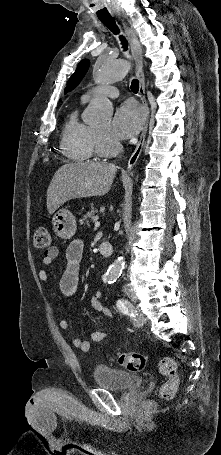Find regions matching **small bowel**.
<instances>
[{"instance_id":"small-bowel-1","label":"small bowel","mask_w":221,"mask_h":455,"mask_svg":"<svg viewBox=\"0 0 221 455\" xmlns=\"http://www.w3.org/2000/svg\"><path fill=\"white\" fill-rule=\"evenodd\" d=\"M84 245L81 241L75 240L69 244L65 252L66 258V267L62 278L60 280V290L65 297H72L77 291L78 281H79V272L81 268V262L83 258ZM59 255V249L57 247H51L49 250L45 251L41 262L43 266H50L54 259ZM39 280L42 283L48 282V274L45 269H40L37 273ZM91 306L104 315L105 317L112 319V311L104 307L101 302V294L99 291H96L90 298ZM59 326L61 329L66 330L69 327L67 320L61 319L59 321ZM109 336L108 332L95 331L92 333V341L99 342L106 339ZM73 345L84 352H88L91 349V341L84 340L79 337L73 339Z\"/></svg>"}]
</instances>
